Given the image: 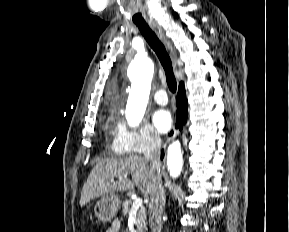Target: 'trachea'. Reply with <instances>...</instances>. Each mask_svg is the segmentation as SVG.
I'll return each mask as SVG.
<instances>
[{
	"label": "trachea",
	"mask_w": 289,
	"mask_h": 232,
	"mask_svg": "<svg viewBox=\"0 0 289 232\" xmlns=\"http://www.w3.org/2000/svg\"><path fill=\"white\" fill-rule=\"evenodd\" d=\"M136 25L141 31L146 41L148 42V44L155 51L157 57L159 58L166 74V81L169 90L172 93L176 92L177 82L173 73L172 62L164 45L147 24H136Z\"/></svg>",
	"instance_id": "trachea-1"
}]
</instances>
